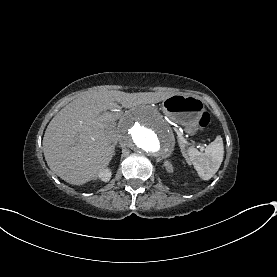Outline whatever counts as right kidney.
Returning a JSON list of instances; mask_svg holds the SVG:
<instances>
[{"label":"right kidney","mask_w":277,"mask_h":277,"mask_svg":"<svg viewBox=\"0 0 277 277\" xmlns=\"http://www.w3.org/2000/svg\"><path fill=\"white\" fill-rule=\"evenodd\" d=\"M112 172L109 168L101 169L97 176H94L92 179L95 180L97 178L101 179L103 182H108L111 179Z\"/></svg>","instance_id":"1"}]
</instances>
